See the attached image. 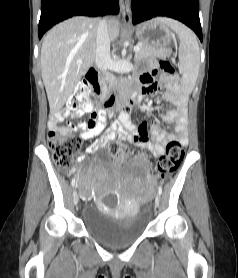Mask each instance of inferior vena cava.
<instances>
[{"label": "inferior vena cava", "mask_w": 238, "mask_h": 278, "mask_svg": "<svg viewBox=\"0 0 238 278\" xmlns=\"http://www.w3.org/2000/svg\"><path fill=\"white\" fill-rule=\"evenodd\" d=\"M111 61L110 36L105 19L100 20L97 27L95 64L102 72H106Z\"/></svg>", "instance_id": "inferior-vena-cava-1"}]
</instances>
